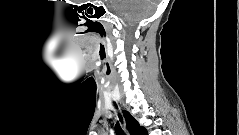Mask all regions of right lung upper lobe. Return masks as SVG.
<instances>
[{"mask_svg":"<svg viewBox=\"0 0 239 135\" xmlns=\"http://www.w3.org/2000/svg\"><path fill=\"white\" fill-rule=\"evenodd\" d=\"M123 114L131 135H148L146 129L140 126L128 111H124ZM115 131L118 135H123V131L118 124L115 126Z\"/></svg>","mask_w":239,"mask_h":135,"instance_id":"1","label":"right lung upper lobe"}]
</instances>
